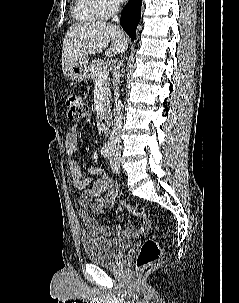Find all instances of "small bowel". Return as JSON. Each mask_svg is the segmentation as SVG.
<instances>
[{"instance_id": "c3829d8e", "label": "small bowel", "mask_w": 239, "mask_h": 303, "mask_svg": "<svg viewBox=\"0 0 239 303\" xmlns=\"http://www.w3.org/2000/svg\"><path fill=\"white\" fill-rule=\"evenodd\" d=\"M64 146L67 154L70 156L77 152L79 134L76 126H73L66 134ZM68 169L74 186L82 191L79 198V204L81 205L79 215L88 235H103L108 237L112 234L120 235L136 230V226L131 222H128L125 227L100 226L98 221L91 216V211L94 214H101L104 209L113 207V195L117 190L116 184L107 178L102 168L94 165H90L86 168V171L90 175L99 177V180L96 182L91 177H83L80 166L73 159L68 161ZM103 193H107V195L104 198H101ZM146 227L145 224H142L141 226L142 229H145Z\"/></svg>"}]
</instances>
